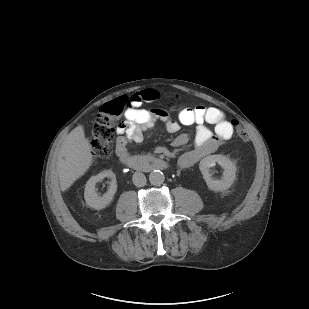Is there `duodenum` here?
<instances>
[{"instance_id":"1","label":"duodenum","mask_w":309,"mask_h":309,"mask_svg":"<svg viewBox=\"0 0 309 309\" xmlns=\"http://www.w3.org/2000/svg\"><path fill=\"white\" fill-rule=\"evenodd\" d=\"M122 163L125 167L141 171L165 170L168 167L166 161L161 158L148 156L144 158L124 157Z\"/></svg>"}]
</instances>
